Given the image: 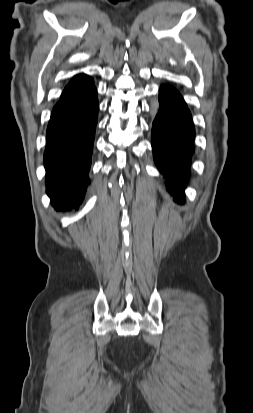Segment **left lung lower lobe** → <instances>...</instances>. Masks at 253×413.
Segmentation results:
<instances>
[{
  "label": "left lung lower lobe",
  "instance_id": "obj_1",
  "mask_svg": "<svg viewBox=\"0 0 253 413\" xmlns=\"http://www.w3.org/2000/svg\"><path fill=\"white\" fill-rule=\"evenodd\" d=\"M159 101V113L152 125L153 157L166 178L168 191L178 203L183 204L194 152L192 116L183 97L172 86L160 87Z\"/></svg>",
  "mask_w": 253,
  "mask_h": 413
}]
</instances>
